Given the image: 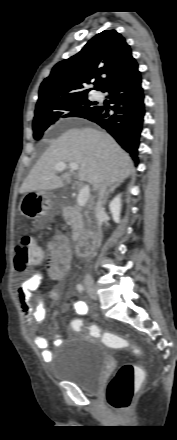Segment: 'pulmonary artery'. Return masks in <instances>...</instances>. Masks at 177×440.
Masks as SVG:
<instances>
[{"instance_id":"1","label":"pulmonary artery","mask_w":177,"mask_h":440,"mask_svg":"<svg viewBox=\"0 0 177 440\" xmlns=\"http://www.w3.org/2000/svg\"><path fill=\"white\" fill-rule=\"evenodd\" d=\"M96 98H97V99H100V96H99V95H97V96H96Z\"/></svg>"}]
</instances>
